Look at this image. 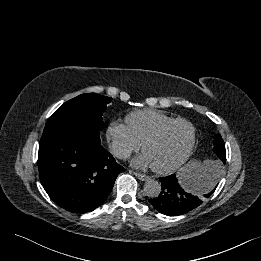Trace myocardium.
<instances>
[{
    "mask_svg": "<svg viewBox=\"0 0 261 261\" xmlns=\"http://www.w3.org/2000/svg\"><path fill=\"white\" fill-rule=\"evenodd\" d=\"M177 123H185L190 127L191 139H190L189 145H188L185 153L182 155V157L179 160H177L175 163H173L172 165H169L166 167L152 166V170L155 171L156 173L169 174V173L176 171L190 158V156L194 150V147L196 144V137H197V131H196L195 125L186 118H174V119L169 120V121L163 123L162 125H160L154 132H152L148 137L145 138V140L142 142L143 151H145V148L147 147V145L158 140L170 126L177 124Z\"/></svg>",
    "mask_w": 261,
    "mask_h": 261,
    "instance_id": "myocardium-1",
    "label": "myocardium"
}]
</instances>
